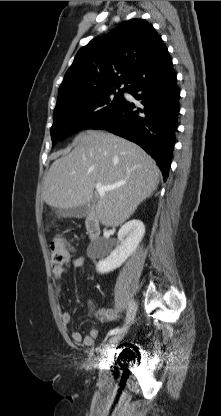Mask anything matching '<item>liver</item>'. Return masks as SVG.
<instances>
[{"label": "liver", "instance_id": "1", "mask_svg": "<svg viewBox=\"0 0 221 416\" xmlns=\"http://www.w3.org/2000/svg\"><path fill=\"white\" fill-rule=\"evenodd\" d=\"M75 147L56 159L44 178L42 197L52 208L89 203L97 183L121 186L99 194L89 214L106 227L124 223L159 184L155 160L140 146L101 130H87Z\"/></svg>", "mask_w": 221, "mask_h": 416}]
</instances>
